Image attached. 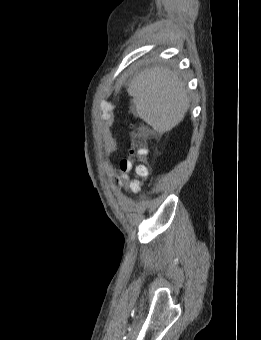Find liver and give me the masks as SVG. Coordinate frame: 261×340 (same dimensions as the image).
Returning a JSON list of instances; mask_svg holds the SVG:
<instances>
[{"label":"liver","instance_id":"obj_1","mask_svg":"<svg viewBox=\"0 0 261 340\" xmlns=\"http://www.w3.org/2000/svg\"><path fill=\"white\" fill-rule=\"evenodd\" d=\"M135 116L163 134L176 127L189 109L185 84L176 71L150 67L136 74L129 83Z\"/></svg>","mask_w":261,"mask_h":340}]
</instances>
